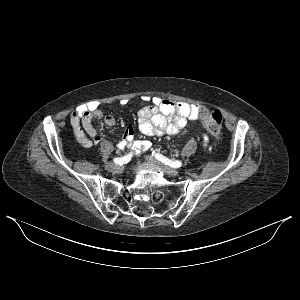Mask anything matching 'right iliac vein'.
Masks as SVG:
<instances>
[{"label": "right iliac vein", "mask_w": 300, "mask_h": 300, "mask_svg": "<svg viewBox=\"0 0 300 300\" xmlns=\"http://www.w3.org/2000/svg\"><path fill=\"white\" fill-rule=\"evenodd\" d=\"M105 168L109 171H112V172H115V173H118L121 171V167L119 165H116L114 163H107L105 165Z\"/></svg>", "instance_id": "obj_1"}]
</instances>
